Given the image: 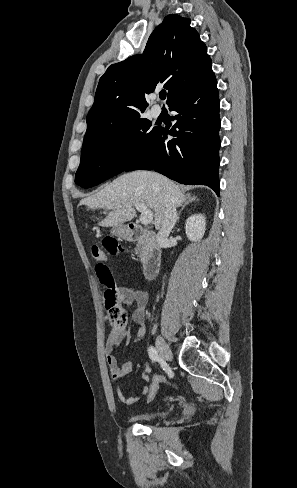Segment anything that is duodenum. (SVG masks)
<instances>
[{
  "label": "duodenum",
  "instance_id": "duodenum-1",
  "mask_svg": "<svg viewBox=\"0 0 297 488\" xmlns=\"http://www.w3.org/2000/svg\"><path fill=\"white\" fill-rule=\"evenodd\" d=\"M125 240L140 242L145 248L143 273L147 279H153L161 267V250L156 245L155 233L135 224H129L122 230Z\"/></svg>",
  "mask_w": 297,
  "mask_h": 488
}]
</instances>
